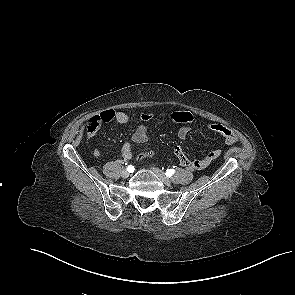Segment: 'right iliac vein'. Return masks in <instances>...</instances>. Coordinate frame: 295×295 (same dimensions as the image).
I'll use <instances>...</instances> for the list:
<instances>
[{
  "instance_id": "63e3f726",
  "label": "right iliac vein",
  "mask_w": 295,
  "mask_h": 295,
  "mask_svg": "<svg viewBox=\"0 0 295 295\" xmlns=\"http://www.w3.org/2000/svg\"><path fill=\"white\" fill-rule=\"evenodd\" d=\"M121 176L122 178H127L129 176V172L127 170H123Z\"/></svg>"
}]
</instances>
